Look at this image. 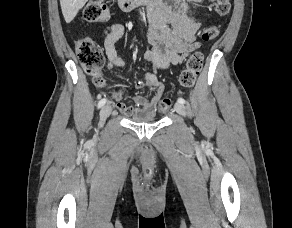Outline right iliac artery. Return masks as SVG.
I'll return each instance as SVG.
<instances>
[{
	"label": "right iliac artery",
	"instance_id": "obj_1",
	"mask_svg": "<svg viewBox=\"0 0 292 228\" xmlns=\"http://www.w3.org/2000/svg\"><path fill=\"white\" fill-rule=\"evenodd\" d=\"M107 100L105 98L101 99L98 103V108H101L106 104Z\"/></svg>",
	"mask_w": 292,
	"mask_h": 228
}]
</instances>
